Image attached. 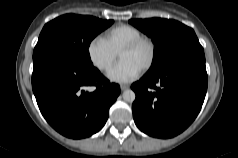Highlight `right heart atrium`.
<instances>
[{"instance_id": "1", "label": "right heart atrium", "mask_w": 238, "mask_h": 158, "mask_svg": "<svg viewBox=\"0 0 238 158\" xmlns=\"http://www.w3.org/2000/svg\"><path fill=\"white\" fill-rule=\"evenodd\" d=\"M91 63L100 71H107L117 58V53L103 37H94L87 46Z\"/></svg>"}]
</instances>
